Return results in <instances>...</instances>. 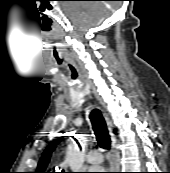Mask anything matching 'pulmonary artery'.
Wrapping results in <instances>:
<instances>
[{"mask_svg": "<svg viewBox=\"0 0 170 173\" xmlns=\"http://www.w3.org/2000/svg\"><path fill=\"white\" fill-rule=\"evenodd\" d=\"M87 161L92 165H99L103 161V156L99 150H90L86 155Z\"/></svg>", "mask_w": 170, "mask_h": 173, "instance_id": "1", "label": "pulmonary artery"}]
</instances>
